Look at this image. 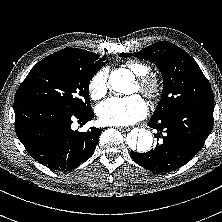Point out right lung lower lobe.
<instances>
[{
    "label": "right lung lower lobe",
    "instance_id": "right-lung-lower-lobe-1",
    "mask_svg": "<svg viewBox=\"0 0 222 222\" xmlns=\"http://www.w3.org/2000/svg\"><path fill=\"white\" fill-rule=\"evenodd\" d=\"M15 130L28 153L53 170H72L89 159L98 144L101 129L73 131L74 119L87 123L93 111L71 113L44 102L14 103Z\"/></svg>",
    "mask_w": 222,
    "mask_h": 222
}]
</instances>
